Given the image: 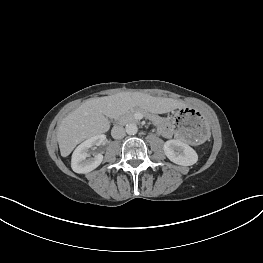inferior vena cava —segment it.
I'll use <instances>...</instances> for the list:
<instances>
[{
	"label": "inferior vena cava",
	"mask_w": 263,
	"mask_h": 263,
	"mask_svg": "<svg viewBox=\"0 0 263 263\" xmlns=\"http://www.w3.org/2000/svg\"><path fill=\"white\" fill-rule=\"evenodd\" d=\"M111 135L114 139H122L125 136V129L121 126L113 127L111 130Z\"/></svg>",
	"instance_id": "inferior-vena-cava-1"
}]
</instances>
